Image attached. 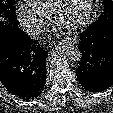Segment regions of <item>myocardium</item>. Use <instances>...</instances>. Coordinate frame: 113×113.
I'll return each mask as SVG.
<instances>
[{
	"mask_svg": "<svg viewBox=\"0 0 113 113\" xmlns=\"http://www.w3.org/2000/svg\"><path fill=\"white\" fill-rule=\"evenodd\" d=\"M64 1L65 0H54L52 3L50 14L52 18L54 19V21L57 23H58L59 10L62 4L64 3ZM93 4H94V0H87L86 6H85V9H84V12L81 18L78 21L66 27L69 29H77V28L85 26L90 21V18L92 15Z\"/></svg>",
	"mask_w": 113,
	"mask_h": 113,
	"instance_id": "myocardium-1",
	"label": "myocardium"
}]
</instances>
